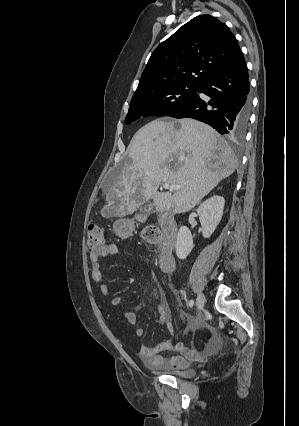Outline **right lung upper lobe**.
Returning a JSON list of instances; mask_svg holds the SVG:
<instances>
[{
	"label": "right lung upper lobe",
	"mask_w": 299,
	"mask_h": 426,
	"mask_svg": "<svg viewBox=\"0 0 299 426\" xmlns=\"http://www.w3.org/2000/svg\"><path fill=\"white\" fill-rule=\"evenodd\" d=\"M240 53L226 24L210 15L197 16L155 49L132 100L177 84L200 85Z\"/></svg>",
	"instance_id": "cb5924a9"
}]
</instances>
